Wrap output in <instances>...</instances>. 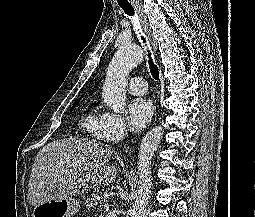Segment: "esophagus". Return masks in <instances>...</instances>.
<instances>
[{
	"label": "esophagus",
	"instance_id": "34e87169",
	"mask_svg": "<svg viewBox=\"0 0 255 217\" xmlns=\"http://www.w3.org/2000/svg\"><path fill=\"white\" fill-rule=\"evenodd\" d=\"M135 11L139 14L140 16V19H141V24H142V28H143V31L146 35V37L148 38L152 48H153V51L156 53L157 52V41L156 39L154 38L153 36V33H152V29L147 21V18L145 16V14L143 13L140 5L138 2H133L132 3Z\"/></svg>",
	"mask_w": 255,
	"mask_h": 217
}]
</instances>
